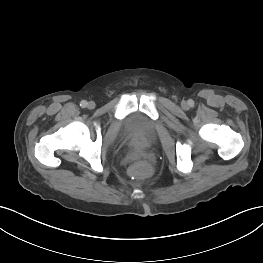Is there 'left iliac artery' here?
Listing matches in <instances>:
<instances>
[{
    "label": "left iliac artery",
    "instance_id": "44dca946",
    "mask_svg": "<svg viewBox=\"0 0 263 263\" xmlns=\"http://www.w3.org/2000/svg\"><path fill=\"white\" fill-rule=\"evenodd\" d=\"M194 102L192 100L189 101V105L193 106Z\"/></svg>",
    "mask_w": 263,
    "mask_h": 263
}]
</instances>
